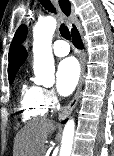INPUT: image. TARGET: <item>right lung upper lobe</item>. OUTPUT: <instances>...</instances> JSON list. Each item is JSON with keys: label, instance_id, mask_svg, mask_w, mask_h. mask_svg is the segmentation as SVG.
<instances>
[{"label": "right lung upper lobe", "instance_id": "obj_1", "mask_svg": "<svg viewBox=\"0 0 114 156\" xmlns=\"http://www.w3.org/2000/svg\"><path fill=\"white\" fill-rule=\"evenodd\" d=\"M59 4H60L62 11L66 15H69L70 11H71L69 1L68 0H60ZM26 58H27V51L22 46L16 51L13 58L11 60H9V66H8V76L9 77L16 75L17 71L19 70L20 66L25 62Z\"/></svg>", "mask_w": 114, "mask_h": 156}]
</instances>
